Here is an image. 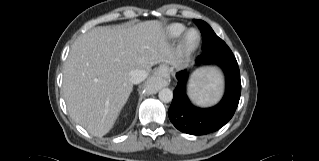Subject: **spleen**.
Wrapping results in <instances>:
<instances>
[{
    "label": "spleen",
    "instance_id": "3e777b00",
    "mask_svg": "<svg viewBox=\"0 0 319 161\" xmlns=\"http://www.w3.org/2000/svg\"><path fill=\"white\" fill-rule=\"evenodd\" d=\"M221 89L222 79L219 72L215 69H208L191 78L188 95L195 104L207 106L217 102Z\"/></svg>",
    "mask_w": 319,
    "mask_h": 161
}]
</instances>
